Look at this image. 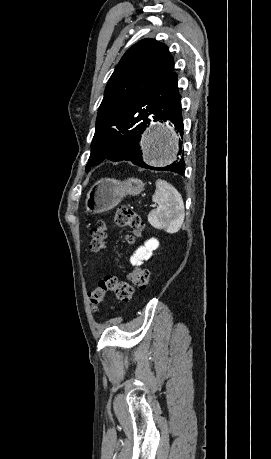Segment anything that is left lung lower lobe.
I'll list each match as a JSON object with an SVG mask.
<instances>
[{"mask_svg":"<svg viewBox=\"0 0 271 459\" xmlns=\"http://www.w3.org/2000/svg\"><path fill=\"white\" fill-rule=\"evenodd\" d=\"M152 105L140 118L130 121L121 127L112 138V148L106 160L110 161H130L133 164L152 170H165L176 172L183 175L185 172V162L182 157H177L176 162L166 167H151L142 160V153L139 142L141 134L151 121L169 120L183 138V122L181 115V96L178 93L177 74L172 73L163 79L151 95ZM179 155L182 154V141L179 140Z\"/></svg>","mask_w":271,"mask_h":459,"instance_id":"obj_1","label":"left lung lower lobe"}]
</instances>
